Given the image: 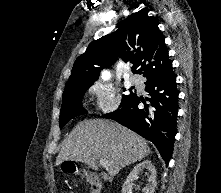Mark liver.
<instances>
[{
    "instance_id": "1",
    "label": "liver",
    "mask_w": 221,
    "mask_h": 193,
    "mask_svg": "<svg viewBox=\"0 0 221 193\" xmlns=\"http://www.w3.org/2000/svg\"><path fill=\"white\" fill-rule=\"evenodd\" d=\"M149 154L147 142L135 132L109 120L89 119L79 122L64 140L56 165L73 160L97 170V161L103 159L115 176Z\"/></svg>"
}]
</instances>
